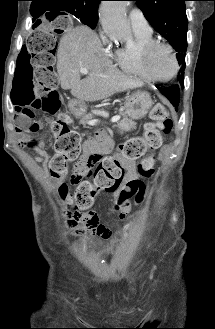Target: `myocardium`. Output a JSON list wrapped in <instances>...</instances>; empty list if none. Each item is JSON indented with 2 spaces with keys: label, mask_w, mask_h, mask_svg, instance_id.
Listing matches in <instances>:
<instances>
[{
  "label": "myocardium",
  "mask_w": 215,
  "mask_h": 329,
  "mask_svg": "<svg viewBox=\"0 0 215 329\" xmlns=\"http://www.w3.org/2000/svg\"><path fill=\"white\" fill-rule=\"evenodd\" d=\"M158 47H164V48L168 49L173 58V61H174V71L167 78L156 77L155 75H153V73L150 70V59H151L152 53ZM140 64H141V68H142L144 75L149 80H152L155 82H168V81L172 80L179 72V60H178L177 54L175 52V49L173 48V46L171 44L164 42V41H160V40H153V41L149 42L148 44H146L141 49Z\"/></svg>",
  "instance_id": "1"
}]
</instances>
